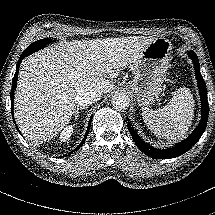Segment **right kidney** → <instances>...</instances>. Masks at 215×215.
<instances>
[{
  "label": "right kidney",
  "mask_w": 215,
  "mask_h": 215,
  "mask_svg": "<svg viewBox=\"0 0 215 215\" xmlns=\"http://www.w3.org/2000/svg\"><path fill=\"white\" fill-rule=\"evenodd\" d=\"M73 130L74 128L72 125L66 126L60 133V136H59L60 140L62 142H66L73 134Z\"/></svg>",
  "instance_id": "obj_1"
}]
</instances>
